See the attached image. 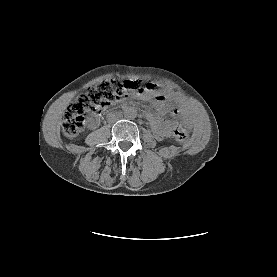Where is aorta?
I'll list each match as a JSON object with an SVG mask.
<instances>
[{"mask_svg": "<svg viewBox=\"0 0 277 277\" xmlns=\"http://www.w3.org/2000/svg\"><path fill=\"white\" fill-rule=\"evenodd\" d=\"M124 116L129 120H133L136 118L137 112L133 107H128L124 110Z\"/></svg>", "mask_w": 277, "mask_h": 277, "instance_id": "obj_1", "label": "aorta"}]
</instances>
